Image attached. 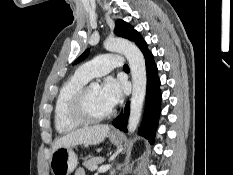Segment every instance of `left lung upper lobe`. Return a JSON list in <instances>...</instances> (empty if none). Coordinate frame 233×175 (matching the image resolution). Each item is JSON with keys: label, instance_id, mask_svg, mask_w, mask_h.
<instances>
[{"label": "left lung upper lobe", "instance_id": "obj_1", "mask_svg": "<svg viewBox=\"0 0 233 175\" xmlns=\"http://www.w3.org/2000/svg\"><path fill=\"white\" fill-rule=\"evenodd\" d=\"M114 32L123 38H126L130 41H133L140 49L143 47L146 42L140 36V34L128 23L124 22L121 19H118L115 23ZM89 50H86L76 61L74 64L82 61L87 57Z\"/></svg>", "mask_w": 233, "mask_h": 175}]
</instances>
